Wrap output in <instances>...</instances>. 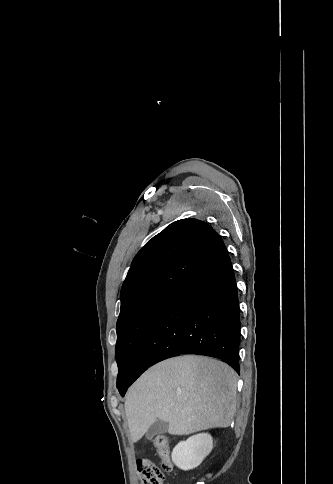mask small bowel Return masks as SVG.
<instances>
[{"instance_id":"small-bowel-1","label":"small bowel","mask_w":333,"mask_h":484,"mask_svg":"<svg viewBox=\"0 0 333 484\" xmlns=\"http://www.w3.org/2000/svg\"><path fill=\"white\" fill-rule=\"evenodd\" d=\"M137 464L140 465V461H138Z\"/></svg>"}]
</instances>
